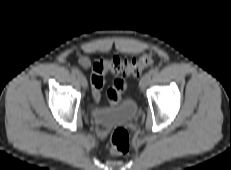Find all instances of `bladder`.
Here are the masks:
<instances>
[{
    "instance_id": "bladder-1",
    "label": "bladder",
    "mask_w": 231,
    "mask_h": 170,
    "mask_svg": "<svg viewBox=\"0 0 231 170\" xmlns=\"http://www.w3.org/2000/svg\"><path fill=\"white\" fill-rule=\"evenodd\" d=\"M138 112V105L133 99H126L119 105L109 108L93 107L91 119L101 127L112 128L132 122Z\"/></svg>"
}]
</instances>
